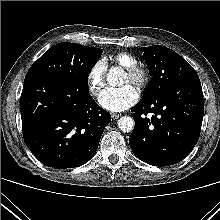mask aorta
I'll use <instances>...</instances> for the list:
<instances>
[{
    "label": "aorta",
    "mask_w": 220,
    "mask_h": 220,
    "mask_svg": "<svg viewBox=\"0 0 220 220\" xmlns=\"http://www.w3.org/2000/svg\"><path fill=\"white\" fill-rule=\"evenodd\" d=\"M122 74L123 70L120 67L110 68L106 78L108 84L111 86L119 85ZM118 127L123 132H131L134 128V120L129 116H123L118 120Z\"/></svg>",
    "instance_id": "762f6f07"
}]
</instances>
